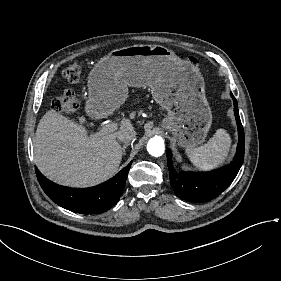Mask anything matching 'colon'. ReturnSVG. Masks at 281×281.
Returning <instances> with one entry per match:
<instances>
[{"label": "colon", "mask_w": 281, "mask_h": 281, "mask_svg": "<svg viewBox=\"0 0 281 281\" xmlns=\"http://www.w3.org/2000/svg\"><path fill=\"white\" fill-rule=\"evenodd\" d=\"M82 75V66L75 61L68 64L63 70L62 77L68 82H77ZM54 111L57 113H74L78 107V101L72 91H63L53 103Z\"/></svg>", "instance_id": "obj_1"}]
</instances>
